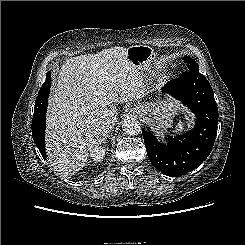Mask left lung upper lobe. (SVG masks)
I'll use <instances>...</instances> for the list:
<instances>
[{
  "label": "left lung upper lobe",
  "instance_id": "5c2ea615",
  "mask_svg": "<svg viewBox=\"0 0 245 245\" xmlns=\"http://www.w3.org/2000/svg\"><path fill=\"white\" fill-rule=\"evenodd\" d=\"M184 63H186L188 70L187 71H199L197 63L190 57H183Z\"/></svg>",
  "mask_w": 245,
  "mask_h": 245
}]
</instances>
